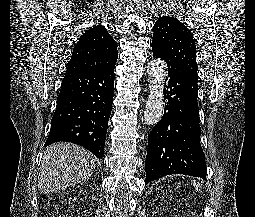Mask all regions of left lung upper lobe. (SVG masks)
Returning a JSON list of instances; mask_svg holds the SVG:
<instances>
[{"instance_id": "left-lung-upper-lobe-1", "label": "left lung upper lobe", "mask_w": 255, "mask_h": 217, "mask_svg": "<svg viewBox=\"0 0 255 217\" xmlns=\"http://www.w3.org/2000/svg\"><path fill=\"white\" fill-rule=\"evenodd\" d=\"M152 51L158 53L168 66L186 70L198 78L192 33L178 19L158 18L153 29Z\"/></svg>"}]
</instances>
